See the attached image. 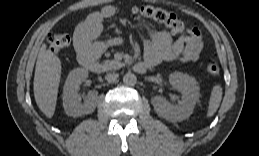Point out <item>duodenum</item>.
Returning a JSON list of instances; mask_svg holds the SVG:
<instances>
[{
  "label": "duodenum",
  "instance_id": "410a0bca",
  "mask_svg": "<svg viewBox=\"0 0 259 156\" xmlns=\"http://www.w3.org/2000/svg\"><path fill=\"white\" fill-rule=\"evenodd\" d=\"M80 59L82 64L91 72L100 73L103 71V66L93 56L85 54L81 56ZM147 68L148 65L143 61H140L134 65L135 72L140 74L145 73Z\"/></svg>",
  "mask_w": 259,
  "mask_h": 156
}]
</instances>
